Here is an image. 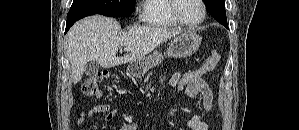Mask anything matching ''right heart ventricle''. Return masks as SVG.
<instances>
[{
    "label": "right heart ventricle",
    "mask_w": 299,
    "mask_h": 130,
    "mask_svg": "<svg viewBox=\"0 0 299 130\" xmlns=\"http://www.w3.org/2000/svg\"><path fill=\"white\" fill-rule=\"evenodd\" d=\"M145 24L151 27L176 28L179 24L170 12V0H146L142 13Z\"/></svg>",
    "instance_id": "right-heart-ventricle-1"
}]
</instances>
